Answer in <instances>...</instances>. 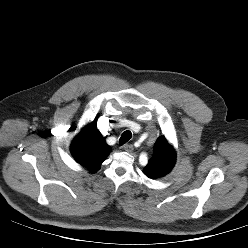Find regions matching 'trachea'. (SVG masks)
<instances>
[{"label": "trachea", "instance_id": "3493384b", "mask_svg": "<svg viewBox=\"0 0 248 248\" xmlns=\"http://www.w3.org/2000/svg\"><path fill=\"white\" fill-rule=\"evenodd\" d=\"M132 137V133L130 131H125L121 137H120V140H119V145H123L125 144L126 142H128Z\"/></svg>", "mask_w": 248, "mask_h": 248}]
</instances>
